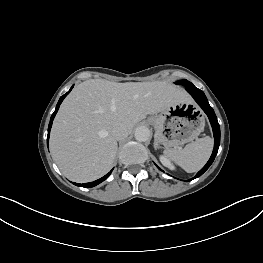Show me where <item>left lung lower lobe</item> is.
<instances>
[{"label":"left lung lower lobe","mask_w":263,"mask_h":263,"mask_svg":"<svg viewBox=\"0 0 263 263\" xmlns=\"http://www.w3.org/2000/svg\"><path fill=\"white\" fill-rule=\"evenodd\" d=\"M186 90L188 91V93L191 94V96L195 99V101L198 103V105L207 114V116L210 120L212 129H213V133H214V149H213L212 155H211L209 161L206 163V165L194 177V178H197V177L201 176L210 167V165L212 164V162L215 159V156L218 152V148L220 145V127H219V123L217 121V117L214 113V110L209 105L208 100H207L205 94L203 93V91L196 88L194 85H192L190 87H186ZM158 169H160V168L158 167Z\"/></svg>","instance_id":"obj_1"}]
</instances>
